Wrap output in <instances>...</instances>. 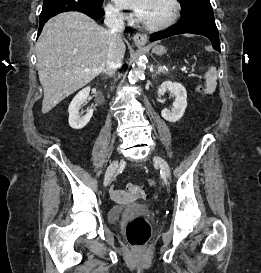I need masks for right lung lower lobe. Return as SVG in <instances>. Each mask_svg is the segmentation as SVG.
Masks as SVG:
<instances>
[{"instance_id":"98d812e1","label":"right lung lower lobe","mask_w":261,"mask_h":273,"mask_svg":"<svg viewBox=\"0 0 261 273\" xmlns=\"http://www.w3.org/2000/svg\"><path fill=\"white\" fill-rule=\"evenodd\" d=\"M102 4L89 2L87 0H44L43 9L40 14V25L38 36L40 35L44 24L53 16L67 11H79L85 13L93 19H98L104 16ZM49 6L52 9L45 10L44 7Z\"/></svg>"}]
</instances>
